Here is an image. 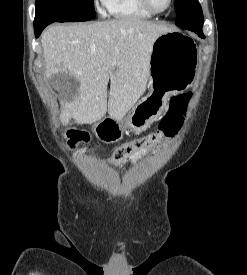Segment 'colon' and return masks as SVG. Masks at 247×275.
Instances as JSON below:
<instances>
[{"label":"colon","mask_w":247,"mask_h":275,"mask_svg":"<svg viewBox=\"0 0 247 275\" xmlns=\"http://www.w3.org/2000/svg\"><path fill=\"white\" fill-rule=\"evenodd\" d=\"M190 98V94H180L172 97L168 109L158 125V129L155 132L118 146L113 152L112 160L114 162H123L136 152L174 136L183 123ZM67 137L71 145L88 141V135L77 129L68 130Z\"/></svg>","instance_id":"1"}]
</instances>
